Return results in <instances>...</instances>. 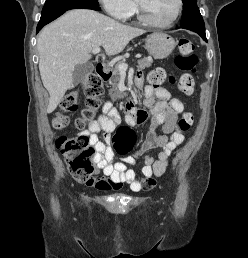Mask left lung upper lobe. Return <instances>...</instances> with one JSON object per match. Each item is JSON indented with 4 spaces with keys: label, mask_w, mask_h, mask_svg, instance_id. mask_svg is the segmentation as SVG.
<instances>
[{
    "label": "left lung upper lobe",
    "mask_w": 248,
    "mask_h": 258,
    "mask_svg": "<svg viewBox=\"0 0 248 258\" xmlns=\"http://www.w3.org/2000/svg\"><path fill=\"white\" fill-rule=\"evenodd\" d=\"M184 10L182 14L181 26H185L192 23L203 22V18L200 14L196 0H182Z\"/></svg>",
    "instance_id": "left-lung-upper-lobe-1"
}]
</instances>
